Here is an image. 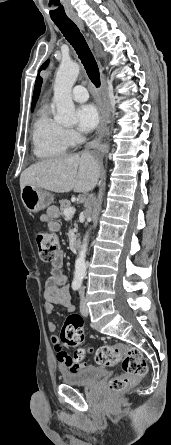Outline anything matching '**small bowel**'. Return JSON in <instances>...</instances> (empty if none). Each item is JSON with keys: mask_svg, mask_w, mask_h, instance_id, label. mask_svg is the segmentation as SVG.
I'll return each instance as SVG.
<instances>
[{"mask_svg": "<svg viewBox=\"0 0 171 445\" xmlns=\"http://www.w3.org/2000/svg\"><path fill=\"white\" fill-rule=\"evenodd\" d=\"M45 224L50 231L59 230V224L54 220L47 219L45 221ZM63 261L64 256L60 252L52 261L50 276L44 284V311L46 314L52 313L55 304L63 306L64 309L69 313L74 311V305L71 302V296L69 288L67 286L68 278L67 275L61 270ZM47 328L50 332H55L57 329V325L55 322L49 321L47 324ZM50 341L56 352L57 361L64 370L74 371L85 367L79 360H75L64 350L57 335H52Z\"/></svg>", "mask_w": 171, "mask_h": 445, "instance_id": "small-bowel-1", "label": "small bowel"}]
</instances>
